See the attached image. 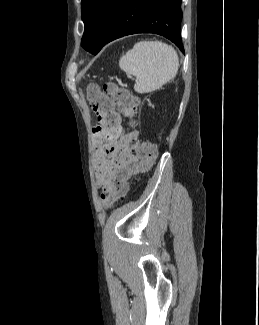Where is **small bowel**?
Masks as SVG:
<instances>
[{
  "label": "small bowel",
  "instance_id": "c3829d8e",
  "mask_svg": "<svg viewBox=\"0 0 259 325\" xmlns=\"http://www.w3.org/2000/svg\"><path fill=\"white\" fill-rule=\"evenodd\" d=\"M116 118V128L104 129L95 139L97 149L95 172L99 188L108 193L112 190L116 174L122 170L135 168L139 158L124 137L120 115L112 110Z\"/></svg>",
  "mask_w": 259,
  "mask_h": 325
}]
</instances>
